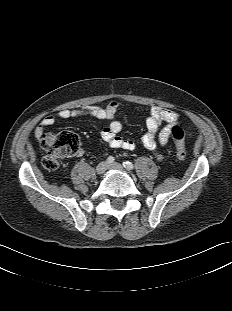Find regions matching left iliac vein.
I'll return each mask as SVG.
<instances>
[{
	"label": "left iliac vein",
	"instance_id": "4c4485c4",
	"mask_svg": "<svg viewBox=\"0 0 232 311\" xmlns=\"http://www.w3.org/2000/svg\"><path fill=\"white\" fill-rule=\"evenodd\" d=\"M108 169L123 170V166L120 163H113V164L108 165Z\"/></svg>",
	"mask_w": 232,
	"mask_h": 311
}]
</instances>
